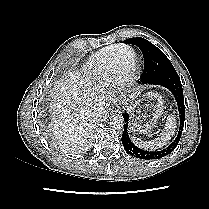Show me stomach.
I'll use <instances>...</instances> for the list:
<instances>
[{"label":"stomach","instance_id":"obj_1","mask_svg":"<svg viewBox=\"0 0 209 209\" xmlns=\"http://www.w3.org/2000/svg\"><path fill=\"white\" fill-rule=\"evenodd\" d=\"M164 110V102L157 92H146L129 108L131 114V131L145 134L157 124Z\"/></svg>","mask_w":209,"mask_h":209}]
</instances>
